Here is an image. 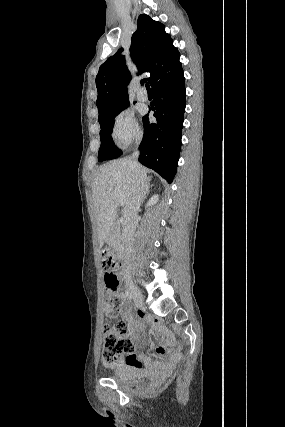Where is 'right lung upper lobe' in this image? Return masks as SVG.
<instances>
[{"mask_svg":"<svg viewBox=\"0 0 285 427\" xmlns=\"http://www.w3.org/2000/svg\"><path fill=\"white\" fill-rule=\"evenodd\" d=\"M119 49L103 63L96 76L98 97L96 105L99 111L98 121L107 119L114 113L128 106V93L122 91L131 80L125 58ZM131 57L138 68V73L149 72L148 78L152 89L171 80L182 71L180 54L173 46V40L165 32L164 26L142 14L138 17L137 30L132 35Z\"/></svg>","mask_w":285,"mask_h":427,"instance_id":"right-lung-upper-lobe-1","label":"right lung upper lobe"}]
</instances>
